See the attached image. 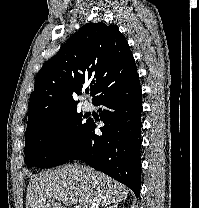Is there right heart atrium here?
Instances as JSON below:
<instances>
[{
	"label": "right heart atrium",
	"instance_id": "1",
	"mask_svg": "<svg viewBox=\"0 0 199 208\" xmlns=\"http://www.w3.org/2000/svg\"><path fill=\"white\" fill-rule=\"evenodd\" d=\"M68 138L69 132L65 128L60 129V131L58 132V140L63 143L66 142Z\"/></svg>",
	"mask_w": 199,
	"mask_h": 208
}]
</instances>
